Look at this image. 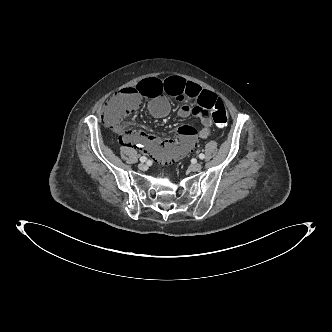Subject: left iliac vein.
<instances>
[{"mask_svg":"<svg viewBox=\"0 0 332 332\" xmlns=\"http://www.w3.org/2000/svg\"><path fill=\"white\" fill-rule=\"evenodd\" d=\"M189 169L193 172L200 171L202 169V164L193 163V164L190 165Z\"/></svg>","mask_w":332,"mask_h":332,"instance_id":"4c4485c4","label":"left iliac vein"}]
</instances>
